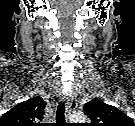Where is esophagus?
Instances as JSON below:
<instances>
[{"instance_id":"34e87169","label":"esophagus","mask_w":135,"mask_h":126,"mask_svg":"<svg viewBox=\"0 0 135 126\" xmlns=\"http://www.w3.org/2000/svg\"><path fill=\"white\" fill-rule=\"evenodd\" d=\"M68 101H67V104H66V115L68 116L76 107H77V100L76 98L69 94L68 95Z\"/></svg>"}]
</instances>
